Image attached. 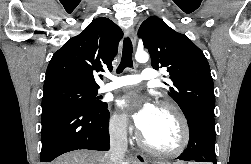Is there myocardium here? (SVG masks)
I'll list each match as a JSON object with an SVG mask.
<instances>
[{"label":"myocardium","mask_w":251,"mask_h":164,"mask_svg":"<svg viewBox=\"0 0 251 164\" xmlns=\"http://www.w3.org/2000/svg\"><path fill=\"white\" fill-rule=\"evenodd\" d=\"M158 108L170 112L174 116L176 121L178 122V125L180 128L179 143L172 149H159V148H155V147L151 146L147 142L145 136L142 134L139 137L140 145L147 152L154 154V155L165 156V157L177 156V155L181 154L187 148L189 141H190V128H189L188 121H187L185 115L183 114V112L181 111V109L177 105H175L171 102H167V101L160 102L158 104Z\"/></svg>","instance_id":"myocardium-1"}]
</instances>
